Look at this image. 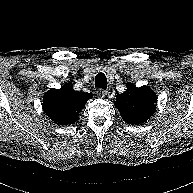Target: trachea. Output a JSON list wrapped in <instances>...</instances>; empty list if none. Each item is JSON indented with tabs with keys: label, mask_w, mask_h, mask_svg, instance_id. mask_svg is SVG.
<instances>
[{
	"label": "trachea",
	"mask_w": 193,
	"mask_h": 193,
	"mask_svg": "<svg viewBox=\"0 0 193 193\" xmlns=\"http://www.w3.org/2000/svg\"><path fill=\"white\" fill-rule=\"evenodd\" d=\"M95 87L100 89L107 88V78L104 73H98L95 77Z\"/></svg>",
	"instance_id": "3493384b"
}]
</instances>
